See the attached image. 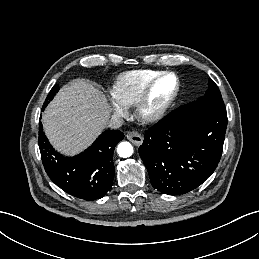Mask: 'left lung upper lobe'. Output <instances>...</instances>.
I'll return each mask as SVG.
<instances>
[{
    "label": "left lung upper lobe",
    "mask_w": 259,
    "mask_h": 259,
    "mask_svg": "<svg viewBox=\"0 0 259 259\" xmlns=\"http://www.w3.org/2000/svg\"><path fill=\"white\" fill-rule=\"evenodd\" d=\"M208 86V90L204 96L177 108L174 112L196 106L225 107L220 90L212 79H209Z\"/></svg>",
    "instance_id": "left-lung-upper-lobe-1"
}]
</instances>
